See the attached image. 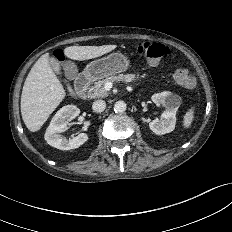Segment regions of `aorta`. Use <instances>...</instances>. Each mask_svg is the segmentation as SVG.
Segmentation results:
<instances>
[{"label": "aorta", "instance_id": "aorta-1", "mask_svg": "<svg viewBox=\"0 0 232 232\" xmlns=\"http://www.w3.org/2000/svg\"><path fill=\"white\" fill-rule=\"evenodd\" d=\"M126 110V103L124 101H117L114 105L116 113H123Z\"/></svg>", "mask_w": 232, "mask_h": 232}]
</instances>
